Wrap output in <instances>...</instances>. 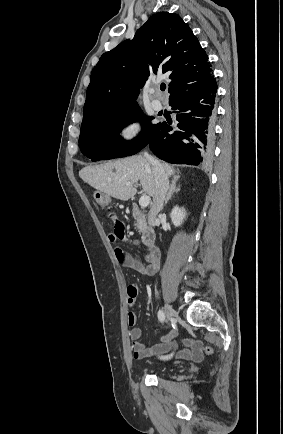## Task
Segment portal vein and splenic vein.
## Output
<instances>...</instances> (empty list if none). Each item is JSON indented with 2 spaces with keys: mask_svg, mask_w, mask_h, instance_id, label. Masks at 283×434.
<instances>
[{
  "mask_svg": "<svg viewBox=\"0 0 283 434\" xmlns=\"http://www.w3.org/2000/svg\"><path fill=\"white\" fill-rule=\"evenodd\" d=\"M127 185H129V183L127 184ZM150 197L149 196H147V195H144V196H142L140 199H139V205L141 206V207H147L148 205H149V203H150Z\"/></svg>",
  "mask_w": 283,
  "mask_h": 434,
  "instance_id": "obj_1",
  "label": "portal vein and splenic vein"
}]
</instances>
